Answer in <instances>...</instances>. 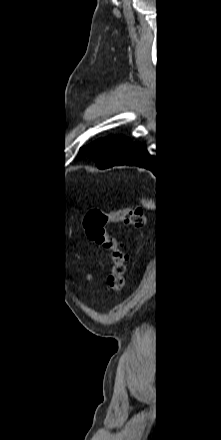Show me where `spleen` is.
Here are the masks:
<instances>
[{
	"label": "spleen",
	"mask_w": 221,
	"mask_h": 440,
	"mask_svg": "<svg viewBox=\"0 0 221 440\" xmlns=\"http://www.w3.org/2000/svg\"><path fill=\"white\" fill-rule=\"evenodd\" d=\"M141 203L147 209H150V210L155 209V202L152 199H142Z\"/></svg>",
	"instance_id": "spleen-1"
}]
</instances>
